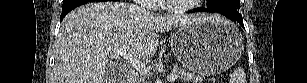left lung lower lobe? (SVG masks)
Returning a JSON list of instances; mask_svg holds the SVG:
<instances>
[{
  "label": "left lung lower lobe",
  "mask_w": 307,
  "mask_h": 83,
  "mask_svg": "<svg viewBox=\"0 0 307 83\" xmlns=\"http://www.w3.org/2000/svg\"><path fill=\"white\" fill-rule=\"evenodd\" d=\"M195 12H217V13H221L223 14L225 17L229 18L232 21H237L243 28V19L241 14L235 13L233 12L230 8H223V9H214L212 7H210L209 5H207V8H196L193 9L192 11H190V13H195Z\"/></svg>",
  "instance_id": "0a47b994"
}]
</instances>
